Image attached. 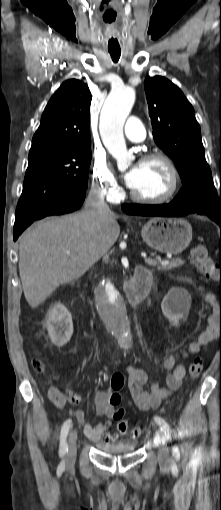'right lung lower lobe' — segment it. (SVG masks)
<instances>
[{
  "instance_id": "1",
  "label": "right lung lower lobe",
  "mask_w": 221,
  "mask_h": 510,
  "mask_svg": "<svg viewBox=\"0 0 221 510\" xmlns=\"http://www.w3.org/2000/svg\"><path fill=\"white\" fill-rule=\"evenodd\" d=\"M85 196V191L80 192L72 197L59 201L46 209H43L33 216L27 217L15 214V224L13 230L14 241L34 220H38L50 215H61L79 209L85 199Z\"/></svg>"
}]
</instances>
